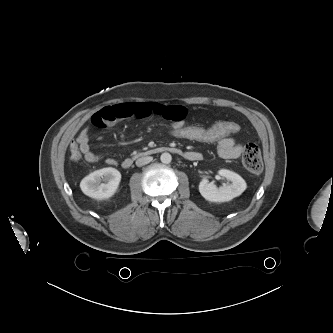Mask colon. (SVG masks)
Wrapping results in <instances>:
<instances>
[{"instance_id": "1", "label": "colon", "mask_w": 333, "mask_h": 333, "mask_svg": "<svg viewBox=\"0 0 333 333\" xmlns=\"http://www.w3.org/2000/svg\"><path fill=\"white\" fill-rule=\"evenodd\" d=\"M239 131V125L233 121H218L210 126H194L186 124H171L167 133L175 138L192 141L216 143L224 138L232 137ZM70 159L78 161L82 153L77 143H71L69 148ZM242 163L251 173L258 174L262 171V157L259 147L248 143L242 154Z\"/></svg>"}]
</instances>
